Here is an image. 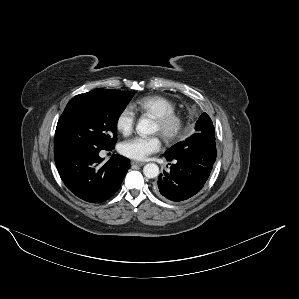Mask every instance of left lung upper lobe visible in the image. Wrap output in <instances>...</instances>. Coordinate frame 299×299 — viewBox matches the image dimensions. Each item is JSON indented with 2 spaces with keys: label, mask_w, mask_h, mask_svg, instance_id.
<instances>
[{
  "label": "left lung upper lobe",
  "mask_w": 299,
  "mask_h": 299,
  "mask_svg": "<svg viewBox=\"0 0 299 299\" xmlns=\"http://www.w3.org/2000/svg\"><path fill=\"white\" fill-rule=\"evenodd\" d=\"M197 146H204L208 149V155L211 156L214 161L216 160L217 151L215 143V129L213 122L207 113L201 114L195 125V132L188 137L185 141L179 142L165 152L164 156H173L184 149H193Z\"/></svg>",
  "instance_id": "left-lung-upper-lobe-1"
}]
</instances>
